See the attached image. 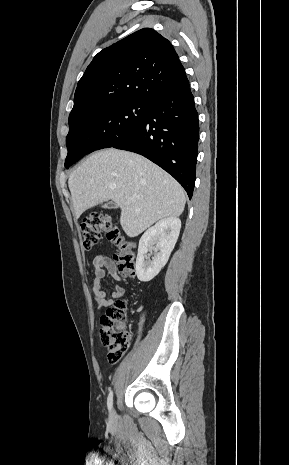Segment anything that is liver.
Masks as SVG:
<instances>
[{"label":"liver","mask_w":289,"mask_h":465,"mask_svg":"<svg viewBox=\"0 0 289 465\" xmlns=\"http://www.w3.org/2000/svg\"><path fill=\"white\" fill-rule=\"evenodd\" d=\"M68 185L76 218L113 200L121 208L120 224L129 237L160 219L180 216L186 202L183 188L168 173L141 155L115 148L90 155L71 173Z\"/></svg>","instance_id":"liver-1"}]
</instances>
